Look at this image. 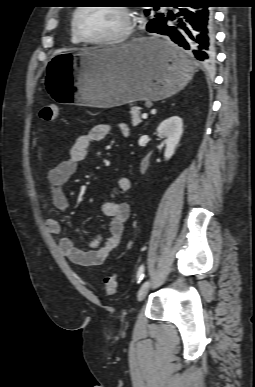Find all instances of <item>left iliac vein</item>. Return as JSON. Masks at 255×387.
<instances>
[{"label": "left iliac vein", "instance_id": "4c4485c4", "mask_svg": "<svg viewBox=\"0 0 255 387\" xmlns=\"http://www.w3.org/2000/svg\"><path fill=\"white\" fill-rule=\"evenodd\" d=\"M150 285H151V281L147 280L140 286L137 293V298L139 301H142L145 298V296L147 295L150 289Z\"/></svg>", "mask_w": 255, "mask_h": 387}]
</instances>
